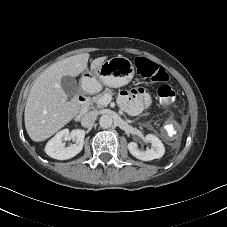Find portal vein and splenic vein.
<instances>
[{"label": "portal vein and splenic vein", "instance_id": "obj_1", "mask_svg": "<svg viewBox=\"0 0 227 227\" xmlns=\"http://www.w3.org/2000/svg\"><path fill=\"white\" fill-rule=\"evenodd\" d=\"M112 100V96L109 94L104 95V97L101 99V102L105 105H108Z\"/></svg>", "mask_w": 227, "mask_h": 227}]
</instances>
